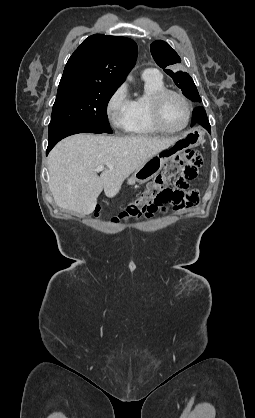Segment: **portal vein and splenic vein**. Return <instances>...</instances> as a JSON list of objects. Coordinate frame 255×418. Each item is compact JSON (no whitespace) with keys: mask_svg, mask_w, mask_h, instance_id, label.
Segmentation results:
<instances>
[{"mask_svg":"<svg viewBox=\"0 0 255 418\" xmlns=\"http://www.w3.org/2000/svg\"><path fill=\"white\" fill-rule=\"evenodd\" d=\"M104 170V165H98L96 168H95V171H97V172H99V171H103Z\"/></svg>","mask_w":255,"mask_h":418,"instance_id":"18ae733b","label":"portal vein and splenic vein"}]
</instances>
